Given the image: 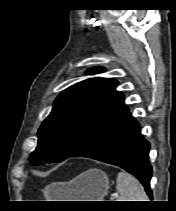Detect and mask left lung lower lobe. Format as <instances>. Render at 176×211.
Returning <instances> with one entry per match:
<instances>
[{"label": "left lung lower lobe", "instance_id": "obj_1", "mask_svg": "<svg viewBox=\"0 0 176 211\" xmlns=\"http://www.w3.org/2000/svg\"><path fill=\"white\" fill-rule=\"evenodd\" d=\"M149 149L150 144L141 135L139 123L126 107L99 128L70 157H87L123 168L136 176L152 198Z\"/></svg>", "mask_w": 176, "mask_h": 211}]
</instances>
